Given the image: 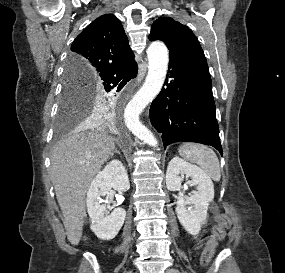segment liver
<instances>
[{"label":"liver","mask_w":285,"mask_h":273,"mask_svg":"<svg viewBox=\"0 0 285 273\" xmlns=\"http://www.w3.org/2000/svg\"><path fill=\"white\" fill-rule=\"evenodd\" d=\"M89 127L87 120L58 142L51 154V180L72 245H78L82 237L89 185L115 150L112 136L98 131L81 132Z\"/></svg>","instance_id":"1"}]
</instances>
